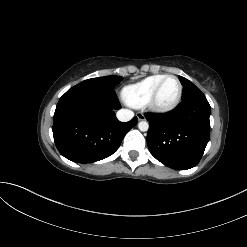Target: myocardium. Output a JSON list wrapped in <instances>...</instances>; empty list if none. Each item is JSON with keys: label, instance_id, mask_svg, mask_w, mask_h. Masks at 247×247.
Wrapping results in <instances>:
<instances>
[{"label": "myocardium", "instance_id": "myocardium-1", "mask_svg": "<svg viewBox=\"0 0 247 247\" xmlns=\"http://www.w3.org/2000/svg\"><path fill=\"white\" fill-rule=\"evenodd\" d=\"M170 78L175 79L178 83L177 97L172 103H170L168 105H160L158 103V95H159L160 89H161L162 85L164 84V82ZM182 94H183V85H182L180 79L175 75H166L155 87V89H154V91H153V93H152V95H151V97L147 103V106L150 110H152L153 112H156V113H160V114L169 113V112L173 111L180 104L181 99H182Z\"/></svg>", "mask_w": 247, "mask_h": 247}]
</instances>
